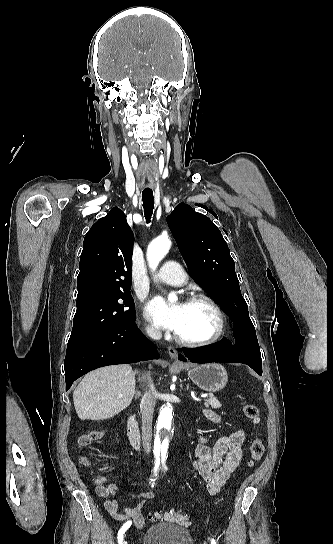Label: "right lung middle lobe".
Listing matches in <instances>:
<instances>
[{"instance_id": "right-lung-middle-lobe-1", "label": "right lung middle lobe", "mask_w": 333, "mask_h": 544, "mask_svg": "<svg viewBox=\"0 0 333 544\" xmlns=\"http://www.w3.org/2000/svg\"><path fill=\"white\" fill-rule=\"evenodd\" d=\"M72 333L67 349L135 320L129 289L94 294L76 301Z\"/></svg>"}]
</instances>
